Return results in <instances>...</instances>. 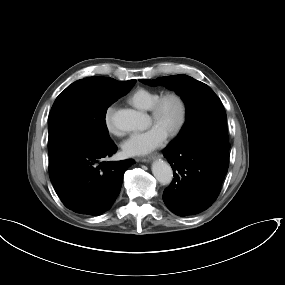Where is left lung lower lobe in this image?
I'll use <instances>...</instances> for the list:
<instances>
[{
  "mask_svg": "<svg viewBox=\"0 0 285 285\" xmlns=\"http://www.w3.org/2000/svg\"><path fill=\"white\" fill-rule=\"evenodd\" d=\"M228 142L206 139L163 150L174 179L163 192L167 208L178 216L198 214L218 197L229 165Z\"/></svg>",
  "mask_w": 285,
  "mask_h": 285,
  "instance_id": "obj_1",
  "label": "left lung lower lobe"
}]
</instances>
